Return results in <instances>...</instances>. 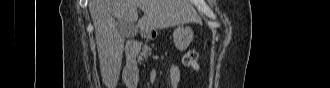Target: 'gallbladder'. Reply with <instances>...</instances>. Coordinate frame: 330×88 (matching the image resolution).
Listing matches in <instances>:
<instances>
[{"mask_svg": "<svg viewBox=\"0 0 330 88\" xmlns=\"http://www.w3.org/2000/svg\"><path fill=\"white\" fill-rule=\"evenodd\" d=\"M116 24H117L119 31H121L122 34L126 38H132L137 33L136 26L134 23H126V22L117 20Z\"/></svg>", "mask_w": 330, "mask_h": 88, "instance_id": "bac80fb5", "label": "gallbladder"}]
</instances>
